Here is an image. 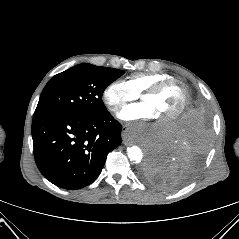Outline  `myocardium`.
<instances>
[{
  "label": "myocardium",
  "mask_w": 239,
  "mask_h": 239,
  "mask_svg": "<svg viewBox=\"0 0 239 239\" xmlns=\"http://www.w3.org/2000/svg\"><path fill=\"white\" fill-rule=\"evenodd\" d=\"M171 85H176L181 90L182 102H181L180 107L174 113H172L171 115L164 118L161 122L173 121L183 114V112L185 111V109L188 105V101H189V92H188V89L186 88V86L177 79L169 78V79L160 81V82L146 88L140 94V98L142 99L144 96H147V95L158 94L163 89H165L166 87L171 86Z\"/></svg>",
  "instance_id": "1"
}]
</instances>
